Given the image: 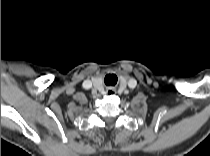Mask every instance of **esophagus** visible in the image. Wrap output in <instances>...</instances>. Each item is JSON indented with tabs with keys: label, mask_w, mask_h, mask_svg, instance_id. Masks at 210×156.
Returning a JSON list of instances; mask_svg holds the SVG:
<instances>
[{
	"label": "esophagus",
	"mask_w": 210,
	"mask_h": 156,
	"mask_svg": "<svg viewBox=\"0 0 210 156\" xmlns=\"http://www.w3.org/2000/svg\"><path fill=\"white\" fill-rule=\"evenodd\" d=\"M115 92H116V90L114 88H112V87H108L106 89L107 95H114Z\"/></svg>",
	"instance_id": "esophagus-1"
}]
</instances>
